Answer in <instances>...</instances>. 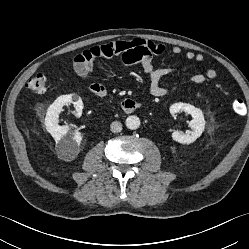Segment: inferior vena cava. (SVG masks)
Wrapping results in <instances>:
<instances>
[{
	"instance_id": "inferior-vena-cava-1",
	"label": "inferior vena cava",
	"mask_w": 249,
	"mask_h": 249,
	"mask_svg": "<svg viewBox=\"0 0 249 249\" xmlns=\"http://www.w3.org/2000/svg\"><path fill=\"white\" fill-rule=\"evenodd\" d=\"M110 129L113 133L121 132L122 124L119 121H113L110 125Z\"/></svg>"
}]
</instances>
